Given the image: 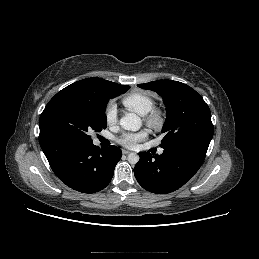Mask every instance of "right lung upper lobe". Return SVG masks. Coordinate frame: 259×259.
I'll list each match as a JSON object with an SVG mask.
<instances>
[{
    "label": "right lung upper lobe",
    "instance_id": "right-lung-upper-lobe-1",
    "mask_svg": "<svg viewBox=\"0 0 259 259\" xmlns=\"http://www.w3.org/2000/svg\"><path fill=\"white\" fill-rule=\"evenodd\" d=\"M115 84L116 83L114 82H110L101 78H88L77 81L67 86L63 90L72 91L74 93L85 95L87 97H98L102 94L104 90L114 86Z\"/></svg>",
    "mask_w": 259,
    "mask_h": 259
}]
</instances>
